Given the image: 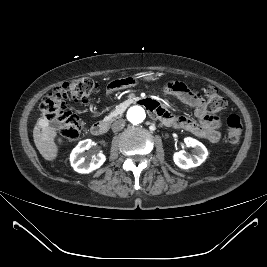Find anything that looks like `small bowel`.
<instances>
[{"label":"small bowel","mask_w":267,"mask_h":267,"mask_svg":"<svg viewBox=\"0 0 267 267\" xmlns=\"http://www.w3.org/2000/svg\"><path fill=\"white\" fill-rule=\"evenodd\" d=\"M135 83L136 79L133 77L117 79L110 83L108 92L113 93L117 90L132 86ZM164 89L168 94L177 97L181 102L190 106L194 110V114L197 118V121H194L185 116H176L160 106L159 103L152 101V111L165 124L188 131L211 143H217L220 140V120L209 115L206 103L197 91L178 81L166 83Z\"/></svg>","instance_id":"c3829d8e"}]
</instances>
